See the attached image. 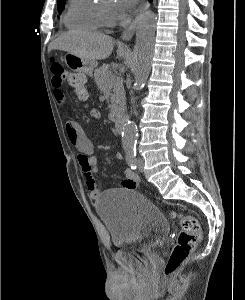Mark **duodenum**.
I'll use <instances>...</instances> for the list:
<instances>
[{"mask_svg": "<svg viewBox=\"0 0 245 300\" xmlns=\"http://www.w3.org/2000/svg\"><path fill=\"white\" fill-rule=\"evenodd\" d=\"M125 118L123 116H115L114 123L118 131H123L125 127Z\"/></svg>", "mask_w": 245, "mask_h": 300, "instance_id": "410a0bca", "label": "duodenum"}]
</instances>
